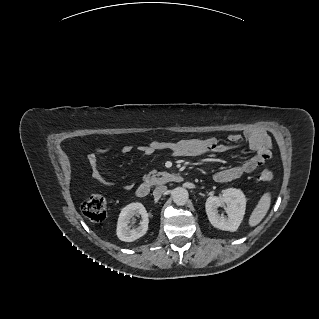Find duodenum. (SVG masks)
Segmentation results:
<instances>
[{
    "mask_svg": "<svg viewBox=\"0 0 319 319\" xmlns=\"http://www.w3.org/2000/svg\"><path fill=\"white\" fill-rule=\"evenodd\" d=\"M181 180L182 177L175 173H159L156 176L150 177L142 182L136 189V195L140 198H145L149 195L153 186L165 183L180 182Z\"/></svg>",
    "mask_w": 319,
    "mask_h": 319,
    "instance_id": "duodenum-1",
    "label": "duodenum"
}]
</instances>
